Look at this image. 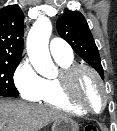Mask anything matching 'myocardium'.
I'll return each instance as SVG.
<instances>
[{
  "instance_id": "myocardium-1",
  "label": "myocardium",
  "mask_w": 117,
  "mask_h": 131,
  "mask_svg": "<svg viewBox=\"0 0 117 131\" xmlns=\"http://www.w3.org/2000/svg\"><path fill=\"white\" fill-rule=\"evenodd\" d=\"M83 73H89L97 82L102 93V106L99 110H95L87 102L82 100L77 93V82ZM61 87L66 98L74 105L92 114L102 112L108 102V94L104 82L100 75L92 67L85 64H76L61 71L59 76Z\"/></svg>"
}]
</instances>
